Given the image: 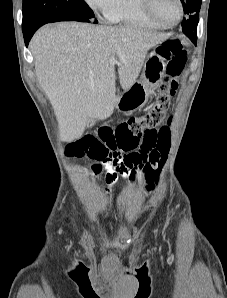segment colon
<instances>
[{
	"label": "colon",
	"instance_id": "1",
	"mask_svg": "<svg viewBox=\"0 0 227 298\" xmlns=\"http://www.w3.org/2000/svg\"><path fill=\"white\" fill-rule=\"evenodd\" d=\"M157 53L167 62L166 78L148 111L140 116L130 117L115 127L101 126L96 139H104L110 150L143 151L152 159L164 163L171 144L170 132L167 127L157 128L164 120L170 99L178 87V79L184 70L187 55L178 39L167 40L157 48ZM67 153H70L68 147ZM151 178H158V173H151Z\"/></svg>",
	"mask_w": 227,
	"mask_h": 298
}]
</instances>
